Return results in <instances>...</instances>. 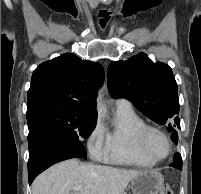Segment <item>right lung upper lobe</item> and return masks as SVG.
Wrapping results in <instances>:
<instances>
[{
    "label": "right lung upper lobe",
    "mask_w": 201,
    "mask_h": 194,
    "mask_svg": "<svg viewBox=\"0 0 201 194\" xmlns=\"http://www.w3.org/2000/svg\"><path fill=\"white\" fill-rule=\"evenodd\" d=\"M103 79L104 70L99 63L66 53L34 70L27 104L55 100L65 103L76 113L97 117L95 91Z\"/></svg>",
    "instance_id": "obj_1"
}]
</instances>
